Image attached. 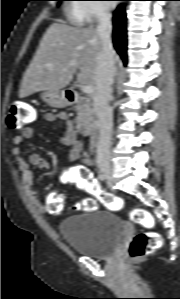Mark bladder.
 Listing matches in <instances>:
<instances>
[{"mask_svg": "<svg viewBox=\"0 0 180 299\" xmlns=\"http://www.w3.org/2000/svg\"><path fill=\"white\" fill-rule=\"evenodd\" d=\"M59 232L75 252L104 259L119 248L125 226L111 210L95 209L67 217L60 223Z\"/></svg>", "mask_w": 180, "mask_h": 299, "instance_id": "bladder-1", "label": "bladder"}]
</instances>
